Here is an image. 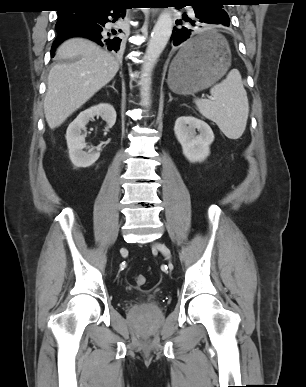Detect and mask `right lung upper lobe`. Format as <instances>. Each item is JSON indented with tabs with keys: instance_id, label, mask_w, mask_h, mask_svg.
<instances>
[{
	"instance_id": "cb5924a9",
	"label": "right lung upper lobe",
	"mask_w": 306,
	"mask_h": 387,
	"mask_svg": "<svg viewBox=\"0 0 306 387\" xmlns=\"http://www.w3.org/2000/svg\"><path fill=\"white\" fill-rule=\"evenodd\" d=\"M61 1H62V7H64V9H67L69 7H74V6L102 7V6H106L114 2H117L119 0H61ZM64 9H61L60 11Z\"/></svg>"
}]
</instances>
